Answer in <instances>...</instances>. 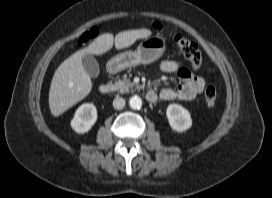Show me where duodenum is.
Returning <instances> with one entry per match:
<instances>
[{"label": "duodenum", "instance_id": "410a0bca", "mask_svg": "<svg viewBox=\"0 0 272 198\" xmlns=\"http://www.w3.org/2000/svg\"><path fill=\"white\" fill-rule=\"evenodd\" d=\"M112 90H113V86L109 83H104L100 85L99 87V92L103 95H107L111 93ZM146 99L148 102H155L157 100V95L154 91H149L146 93Z\"/></svg>", "mask_w": 272, "mask_h": 198}]
</instances>
